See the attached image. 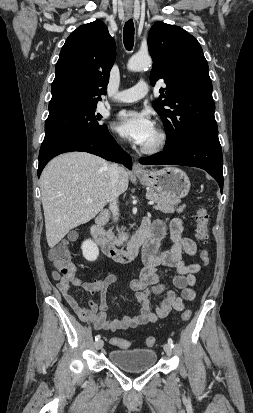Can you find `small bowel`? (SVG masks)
<instances>
[{"mask_svg": "<svg viewBox=\"0 0 253 413\" xmlns=\"http://www.w3.org/2000/svg\"><path fill=\"white\" fill-rule=\"evenodd\" d=\"M149 221L153 236L147 241L142 251L143 268L139 278L131 282V288L137 291V300L140 304V313L136 316H125L121 319L109 320L107 318L108 301L107 293L111 285L117 282L115 275H108L102 280L84 282L75 275V266L71 263L72 273L67 276L60 275L53 270V278L57 287L76 315L85 322L93 324L97 330L118 331L137 328L141 325L156 322L166 317L171 310L182 311L185 301L195 299L193 287L196 285L195 274L201 270L196 262H189L183 257H193L196 254V244L190 238L182 236L183 222L175 218L169 225L170 238L173 242L169 250L158 253L161 239L166 234V226L161 220ZM161 266L175 268L177 274L172 278V285L180 291L178 295L174 289L166 291L168 285L161 281L158 268ZM83 288L90 295L100 293V304L90 299L86 307H82L73 297L70 286ZM162 295L158 305L153 308L152 297Z\"/></svg>", "mask_w": 253, "mask_h": 413, "instance_id": "obj_1", "label": "small bowel"}]
</instances>
